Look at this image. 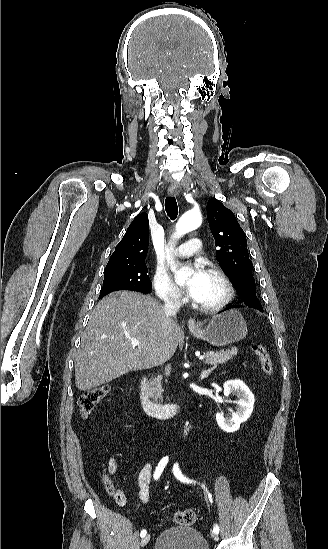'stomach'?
<instances>
[{
	"label": "stomach",
	"instance_id": "0dacf381",
	"mask_svg": "<svg viewBox=\"0 0 328 549\" xmlns=\"http://www.w3.org/2000/svg\"><path fill=\"white\" fill-rule=\"evenodd\" d=\"M190 331L194 337L207 341L213 347H224L242 341L247 335V325L237 309H229L220 315H214L204 329L190 325Z\"/></svg>",
	"mask_w": 328,
	"mask_h": 549
}]
</instances>
